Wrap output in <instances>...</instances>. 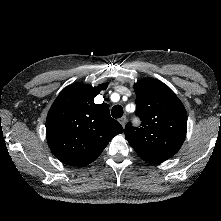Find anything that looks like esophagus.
<instances>
[{
	"label": "esophagus",
	"mask_w": 221,
	"mask_h": 221,
	"mask_svg": "<svg viewBox=\"0 0 221 221\" xmlns=\"http://www.w3.org/2000/svg\"><path fill=\"white\" fill-rule=\"evenodd\" d=\"M126 121H127V119H126V117H125V116H123V117H121V118L119 119V123L122 125V127H124V126H125Z\"/></svg>",
	"instance_id": "esophagus-1"
}]
</instances>
